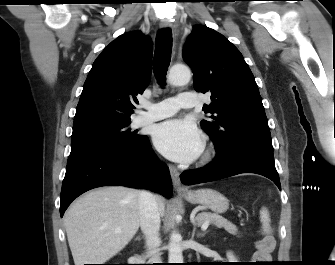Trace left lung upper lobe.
<instances>
[{"label":"left lung upper lobe","instance_id":"left-lung-upper-lobe-1","mask_svg":"<svg viewBox=\"0 0 335 265\" xmlns=\"http://www.w3.org/2000/svg\"><path fill=\"white\" fill-rule=\"evenodd\" d=\"M183 59L193 71L197 92L211 93L212 102L202 120L216 152L237 144L273 151L268 120L255 78L240 51L223 35L196 25L187 38Z\"/></svg>","mask_w":335,"mask_h":265}]
</instances>
